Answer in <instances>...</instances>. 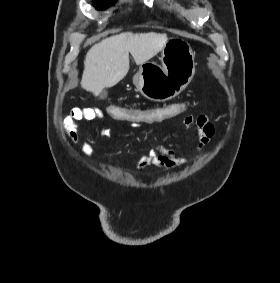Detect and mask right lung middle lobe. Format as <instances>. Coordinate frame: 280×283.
Here are the masks:
<instances>
[{
	"label": "right lung middle lobe",
	"mask_w": 280,
	"mask_h": 283,
	"mask_svg": "<svg viewBox=\"0 0 280 283\" xmlns=\"http://www.w3.org/2000/svg\"><path fill=\"white\" fill-rule=\"evenodd\" d=\"M116 0H94V6L96 9H107L111 6Z\"/></svg>",
	"instance_id": "1"
}]
</instances>
